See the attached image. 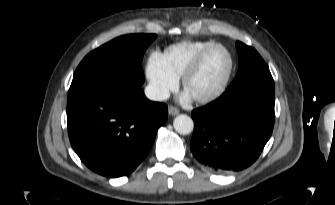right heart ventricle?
<instances>
[{
	"label": "right heart ventricle",
	"mask_w": 335,
	"mask_h": 205,
	"mask_svg": "<svg viewBox=\"0 0 335 205\" xmlns=\"http://www.w3.org/2000/svg\"><path fill=\"white\" fill-rule=\"evenodd\" d=\"M213 43L212 41H181L167 47L162 55L171 72L180 77L196 55Z\"/></svg>",
	"instance_id": "e07e8e85"
}]
</instances>
